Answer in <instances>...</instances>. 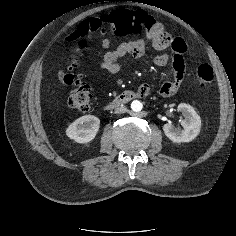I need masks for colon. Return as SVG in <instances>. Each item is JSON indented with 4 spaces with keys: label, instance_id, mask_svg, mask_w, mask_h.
Masks as SVG:
<instances>
[{
    "label": "colon",
    "instance_id": "1",
    "mask_svg": "<svg viewBox=\"0 0 236 236\" xmlns=\"http://www.w3.org/2000/svg\"><path fill=\"white\" fill-rule=\"evenodd\" d=\"M97 31L113 32L120 37L136 36L143 31H153L164 37L166 41L171 39V35L163 27L157 25L154 19L145 12L119 9L81 23L67 36L66 47L84 48L89 35ZM196 75L202 86H208L213 81L214 71L209 64H202L197 68ZM63 81L72 87L67 101L68 106L78 111H87L92 99L91 87L73 73L67 74Z\"/></svg>",
    "mask_w": 236,
    "mask_h": 236
}]
</instances>
